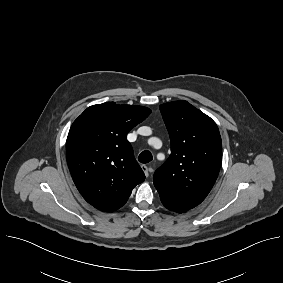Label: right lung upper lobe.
Returning <instances> with one entry per match:
<instances>
[{"instance_id": "1", "label": "right lung upper lobe", "mask_w": 283, "mask_h": 283, "mask_svg": "<svg viewBox=\"0 0 283 283\" xmlns=\"http://www.w3.org/2000/svg\"><path fill=\"white\" fill-rule=\"evenodd\" d=\"M151 110L114 102L88 107L72 124L67 163L83 198L102 211H115L145 175L126 136Z\"/></svg>"}]
</instances>
